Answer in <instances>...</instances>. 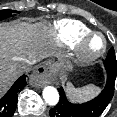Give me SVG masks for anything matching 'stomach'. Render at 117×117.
<instances>
[{"instance_id": "obj_1", "label": "stomach", "mask_w": 117, "mask_h": 117, "mask_svg": "<svg viewBox=\"0 0 117 117\" xmlns=\"http://www.w3.org/2000/svg\"><path fill=\"white\" fill-rule=\"evenodd\" d=\"M72 68L71 63L68 60L62 59L58 63L55 64V69L58 72H65Z\"/></svg>"}]
</instances>
